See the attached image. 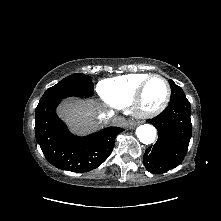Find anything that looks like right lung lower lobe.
I'll return each instance as SVG.
<instances>
[{"label": "right lung lower lobe", "mask_w": 221, "mask_h": 221, "mask_svg": "<svg viewBox=\"0 0 221 221\" xmlns=\"http://www.w3.org/2000/svg\"><path fill=\"white\" fill-rule=\"evenodd\" d=\"M66 97L39 102L35 112L36 140L46 159L55 167L72 172L90 171L109 157L122 129L109 127L85 137L71 134L56 114L57 105Z\"/></svg>", "instance_id": "right-lung-lower-lobe-1"}]
</instances>
